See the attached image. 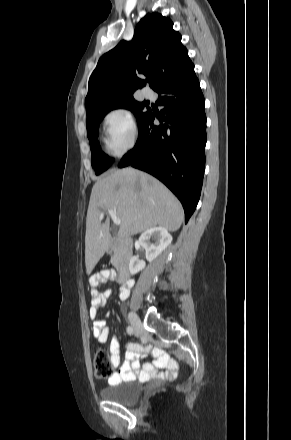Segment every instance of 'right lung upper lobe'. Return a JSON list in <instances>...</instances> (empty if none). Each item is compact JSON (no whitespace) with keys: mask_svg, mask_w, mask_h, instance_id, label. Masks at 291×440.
Wrapping results in <instances>:
<instances>
[{"mask_svg":"<svg viewBox=\"0 0 291 440\" xmlns=\"http://www.w3.org/2000/svg\"><path fill=\"white\" fill-rule=\"evenodd\" d=\"M191 66L172 21L159 13L147 14L136 26L130 42L121 41L99 59L89 78L86 112L133 97L137 89L146 85L140 75L150 77L149 85L156 90Z\"/></svg>","mask_w":291,"mask_h":440,"instance_id":"cb5924a9","label":"right lung upper lobe"}]
</instances>
